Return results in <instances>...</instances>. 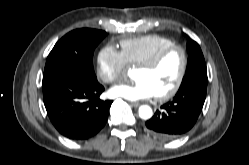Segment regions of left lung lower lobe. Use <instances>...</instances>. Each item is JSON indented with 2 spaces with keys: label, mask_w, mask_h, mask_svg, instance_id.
<instances>
[{
  "label": "left lung lower lobe",
  "mask_w": 249,
  "mask_h": 165,
  "mask_svg": "<svg viewBox=\"0 0 249 165\" xmlns=\"http://www.w3.org/2000/svg\"><path fill=\"white\" fill-rule=\"evenodd\" d=\"M207 84L192 83L179 89L172 101L167 102L146 121L147 129L156 137L172 140L188 132L196 123L206 98Z\"/></svg>",
  "instance_id": "left-lung-lower-lobe-1"
}]
</instances>
